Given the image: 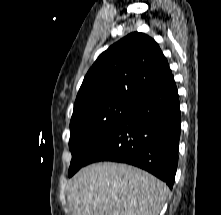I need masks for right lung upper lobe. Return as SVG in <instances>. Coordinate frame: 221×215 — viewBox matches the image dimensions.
Instances as JSON below:
<instances>
[{"label": "right lung upper lobe", "mask_w": 221, "mask_h": 215, "mask_svg": "<svg viewBox=\"0 0 221 215\" xmlns=\"http://www.w3.org/2000/svg\"><path fill=\"white\" fill-rule=\"evenodd\" d=\"M173 80L155 40L133 32L97 58L83 80L74 107L107 100L134 103Z\"/></svg>", "instance_id": "1"}]
</instances>
